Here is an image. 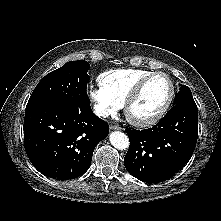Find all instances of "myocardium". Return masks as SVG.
<instances>
[{
	"mask_svg": "<svg viewBox=\"0 0 221 221\" xmlns=\"http://www.w3.org/2000/svg\"><path fill=\"white\" fill-rule=\"evenodd\" d=\"M156 76H164L170 85V92L168 95V98L166 99L164 105L162 106V108L153 116L145 118V119H136L134 117H132L130 115V108L131 106L137 101V99L140 97L144 87L146 86V84L154 77ZM175 97V84L174 81L172 80V78L170 77V75H168L165 72L162 71H155L152 72L148 75H146L145 77H143L141 80H139L137 82V84L134 86V88L132 89V91L129 93V95L126 97L124 103H123V109H124V113L125 116L127 118V120L134 126L136 127H149L152 125H155L156 123H158L168 112L173 100Z\"/></svg>",
	"mask_w": 221,
	"mask_h": 221,
	"instance_id": "1",
	"label": "myocardium"
}]
</instances>
